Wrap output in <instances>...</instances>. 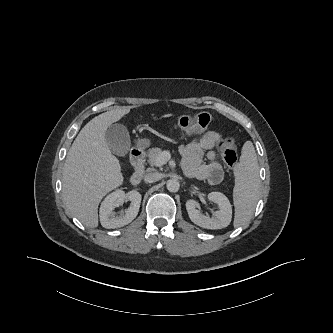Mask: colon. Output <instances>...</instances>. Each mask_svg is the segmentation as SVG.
Listing matches in <instances>:
<instances>
[{"label":"colon","instance_id":"5ec220e1","mask_svg":"<svg viewBox=\"0 0 333 333\" xmlns=\"http://www.w3.org/2000/svg\"><path fill=\"white\" fill-rule=\"evenodd\" d=\"M212 117L207 113L184 115L178 119L179 127L185 133H194L206 130L212 123ZM217 148L224 163L232 168L237 163L238 154L235 141L232 137H225L218 141Z\"/></svg>","mask_w":333,"mask_h":333}]
</instances>
